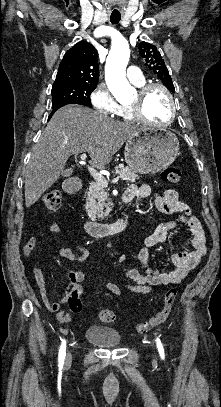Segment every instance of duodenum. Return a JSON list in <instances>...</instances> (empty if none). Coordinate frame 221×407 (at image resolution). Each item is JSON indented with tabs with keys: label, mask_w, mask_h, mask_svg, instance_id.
Here are the masks:
<instances>
[{
	"label": "duodenum",
	"mask_w": 221,
	"mask_h": 407,
	"mask_svg": "<svg viewBox=\"0 0 221 407\" xmlns=\"http://www.w3.org/2000/svg\"><path fill=\"white\" fill-rule=\"evenodd\" d=\"M67 190L70 193H78L83 189V183H68L66 185ZM124 203L128 200L124 199ZM129 227V216L126 212L120 219L111 223H97L93 221H87L85 223L86 233L90 236H106L110 234L120 233Z\"/></svg>",
	"instance_id": "1"
}]
</instances>
